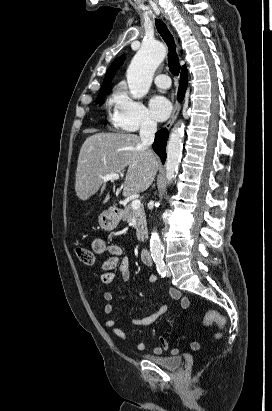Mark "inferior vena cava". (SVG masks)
<instances>
[{
	"label": "inferior vena cava",
	"instance_id": "obj_1",
	"mask_svg": "<svg viewBox=\"0 0 272 411\" xmlns=\"http://www.w3.org/2000/svg\"><path fill=\"white\" fill-rule=\"evenodd\" d=\"M157 131V123L154 120L145 118L140 126L141 144L145 149H148L154 142L155 133Z\"/></svg>",
	"mask_w": 272,
	"mask_h": 411
}]
</instances>
